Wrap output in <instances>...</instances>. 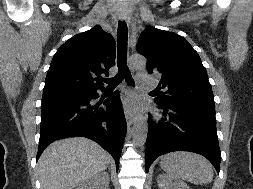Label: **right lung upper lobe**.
<instances>
[{
    "label": "right lung upper lobe",
    "mask_w": 253,
    "mask_h": 189,
    "mask_svg": "<svg viewBox=\"0 0 253 189\" xmlns=\"http://www.w3.org/2000/svg\"><path fill=\"white\" fill-rule=\"evenodd\" d=\"M115 50L113 36L99 25L73 36L55 53L44 92L104 89L98 77L102 73L108 75L115 65Z\"/></svg>",
    "instance_id": "cb5924a9"
}]
</instances>
